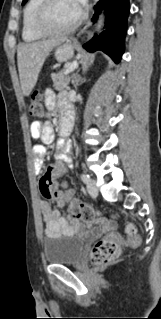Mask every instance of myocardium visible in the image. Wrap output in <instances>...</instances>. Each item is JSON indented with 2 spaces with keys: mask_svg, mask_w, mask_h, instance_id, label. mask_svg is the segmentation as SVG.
I'll use <instances>...</instances> for the list:
<instances>
[{
  "mask_svg": "<svg viewBox=\"0 0 161 319\" xmlns=\"http://www.w3.org/2000/svg\"><path fill=\"white\" fill-rule=\"evenodd\" d=\"M54 2L55 0H42L34 20V27L36 31L43 36L49 37L63 36L72 33L84 20L86 16L85 10L81 8L78 17L69 26L63 29H52L47 24V17Z\"/></svg>",
  "mask_w": 161,
  "mask_h": 319,
  "instance_id": "f54148a6",
  "label": "myocardium"
}]
</instances>
